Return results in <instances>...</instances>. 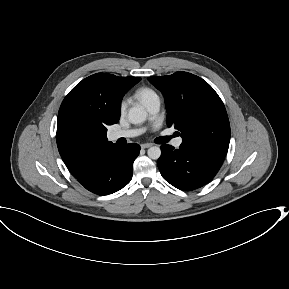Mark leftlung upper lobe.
<instances>
[{
  "label": "left lung upper lobe",
  "instance_id": "obj_1",
  "mask_svg": "<svg viewBox=\"0 0 289 289\" xmlns=\"http://www.w3.org/2000/svg\"><path fill=\"white\" fill-rule=\"evenodd\" d=\"M148 80L162 92L167 125L180 131L183 143L226 156L229 119L220 97L206 81L188 72Z\"/></svg>",
  "mask_w": 289,
  "mask_h": 289
}]
</instances>
